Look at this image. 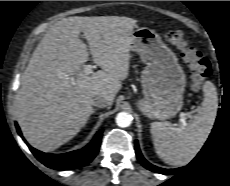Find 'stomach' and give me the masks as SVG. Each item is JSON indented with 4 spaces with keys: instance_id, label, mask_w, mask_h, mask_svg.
Masks as SVG:
<instances>
[{
    "instance_id": "1",
    "label": "stomach",
    "mask_w": 230,
    "mask_h": 186,
    "mask_svg": "<svg viewBox=\"0 0 230 186\" xmlns=\"http://www.w3.org/2000/svg\"><path fill=\"white\" fill-rule=\"evenodd\" d=\"M130 50L146 64L141 74L144 97L136 104L140 112L158 120L175 116L183 106L186 75L174 52L146 27L133 31Z\"/></svg>"
}]
</instances>
